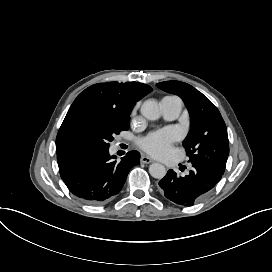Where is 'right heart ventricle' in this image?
<instances>
[{
  "label": "right heart ventricle",
  "mask_w": 272,
  "mask_h": 272,
  "mask_svg": "<svg viewBox=\"0 0 272 272\" xmlns=\"http://www.w3.org/2000/svg\"><path fill=\"white\" fill-rule=\"evenodd\" d=\"M160 110H161V112H162L161 106H160ZM175 129H176V127H170V128L168 129V130L171 132V136H172V137H173V135H174Z\"/></svg>",
  "instance_id": "obj_1"
}]
</instances>
